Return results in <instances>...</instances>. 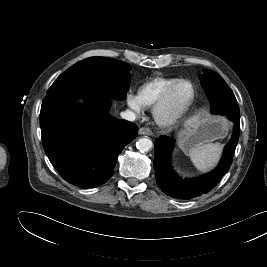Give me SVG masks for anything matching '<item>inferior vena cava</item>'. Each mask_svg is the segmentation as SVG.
I'll return each mask as SVG.
<instances>
[{
  "label": "inferior vena cava",
  "instance_id": "1",
  "mask_svg": "<svg viewBox=\"0 0 267 267\" xmlns=\"http://www.w3.org/2000/svg\"><path fill=\"white\" fill-rule=\"evenodd\" d=\"M121 117L125 120H128V121H135L136 119V114L130 110H126L124 112H121Z\"/></svg>",
  "mask_w": 267,
  "mask_h": 267
}]
</instances>
